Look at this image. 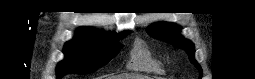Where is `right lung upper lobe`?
I'll use <instances>...</instances> for the list:
<instances>
[{
  "label": "right lung upper lobe",
  "mask_w": 255,
  "mask_h": 79,
  "mask_svg": "<svg viewBox=\"0 0 255 79\" xmlns=\"http://www.w3.org/2000/svg\"><path fill=\"white\" fill-rule=\"evenodd\" d=\"M77 33L80 36L99 37V38H106V39H112V40H116L119 37V35L106 37L103 34H100L97 31H95L94 29L89 28V27H82V28L78 29Z\"/></svg>",
  "instance_id": "obj_1"
}]
</instances>
